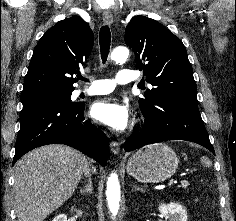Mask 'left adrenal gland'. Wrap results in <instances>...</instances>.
<instances>
[{
	"label": "left adrenal gland",
	"instance_id": "obj_1",
	"mask_svg": "<svg viewBox=\"0 0 236 221\" xmlns=\"http://www.w3.org/2000/svg\"><path fill=\"white\" fill-rule=\"evenodd\" d=\"M134 189H135V190H138V191H141V192H144V191H145V189L140 188V187L137 186V185L134 186Z\"/></svg>",
	"mask_w": 236,
	"mask_h": 221
}]
</instances>
